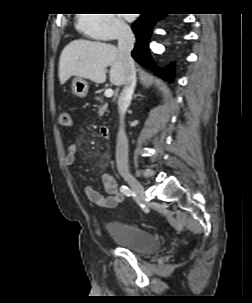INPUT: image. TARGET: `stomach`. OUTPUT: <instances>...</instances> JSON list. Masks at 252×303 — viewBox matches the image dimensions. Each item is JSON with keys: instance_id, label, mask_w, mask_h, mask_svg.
<instances>
[{"instance_id": "1", "label": "stomach", "mask_w": 252, "mask_h": 303, "mask_svg": "<svg viewBox=\"0 0 252 303\" xmlns=\"http://www.w3.org/2000/svg\"><path fill=\"white\" fill-rule=\"evenodd\" d=\"M88 83L79 77H75L72 80V91L78 97H85L88 93Z\"/></svg>"}]
</instances>
